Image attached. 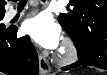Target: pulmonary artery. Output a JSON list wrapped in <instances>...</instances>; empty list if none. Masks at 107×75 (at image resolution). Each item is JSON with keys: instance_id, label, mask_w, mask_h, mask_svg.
<instances>
[{"instance_id": "e3ab8cb5", "label": "pulmonary artery", "mask_w": 107, "mask_h": 75, "mask_svg": "<svg viewBox=\"0 0 107 75\" xmlns=\"http://www.w3.org/2000/svg\"><path fill=\"white\" fill-rule=\"evenodd\" d=\"M17 14H18V11L15 10V9H12V10H10V11L7 13V17H8L9 19H11V18L15 17Z\"/></svg>"}]
</instances>
